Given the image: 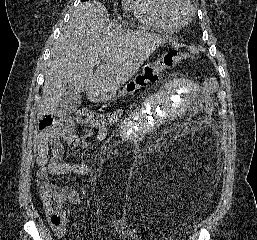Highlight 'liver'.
Returning <instances> with one entry per match:
<instances>
[{
	"instance_id": "6515ba94",
	"label": "liver",
	"mask_w": 257,
	"mask_h": 240,
	"mask_svg": "<svg viewBox=\"0 0 257 240\" xmlns=\"http://www.w3.org/2000/svg\"><path fill=\"white\" fill-rule=\"evenodd\" d=\"M107 16L98 1L83 2L72 13L45 68L39 116L56 113L67 84L77 93L87 91L90 102L114 100L120 87L165 43L155 34L110 24Z\"/></svg>"
}]
</instances>
